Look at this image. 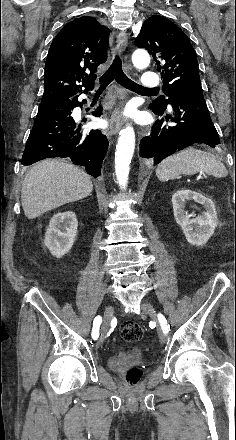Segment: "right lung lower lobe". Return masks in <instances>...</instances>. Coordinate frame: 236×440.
Masks as SVG:
<instances>
[{
  "label": "right lung lower lobe",
  "instance_id": "right-lung-lower-lobe-1",
  "mask_svg": "<svg viewBox=\"0 0 236 440\" xmlns=\"http://www.w3.org/2000/svg\"><path fill=\"white\" fill-rule=\"evenodd\" d=\"M85 103V100H83ZM82 106L78 96L41 102L22 156L23 165H31L46 158H69L85 167L97 178L108 149V140L99 130H82L72 117L75 107ZM102 107L94 112L100 117Z\"/></svg>",
  "mask_w": 236,
  "mask_h": 440
}]
</instances>
